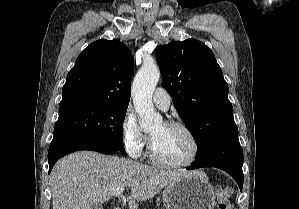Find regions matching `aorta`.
<instances>
[{"mask_svg":"<svg viewBox=\"0 0 299 209\" xmlns=\"http://www.w3.org/2000/svg\"><path fill=\"white\" fill-rule=\"evenodd\" d=\"M159 78L158 67L153 62H146L133 81V104L139 116V124L144 129H150L162 122V117L154 111L152 103V95Z\"/></svg>","mask_w":299,"mask_h":209,"instance_id":"aorta-1","label":"aorta"}]
</instances>
